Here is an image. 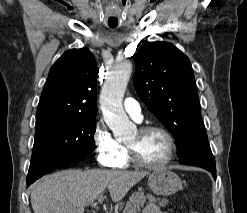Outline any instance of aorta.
I'll return each mask as SVG.
<instances>
[{"label":"aorta","instance_id":"1","mask_svg":"<svg viewBox=\"0 0 247 213\" xmlns=\"http://www.w3.org/2000/svg\"><path fill=\"white\" fill-rule=\"evenodd\" d=\"M131 73L132 64L129 61L116 64L109 72L100 93L104 120L117 137L129 135L136 128L129 120L122 105Z\"/></svg>","mask_w":247,"mask_h":213}]
</instances>
